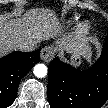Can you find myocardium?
Wrapping results in <instances>:
<instances>
[{
  "mask_svg": "<svg viewBox=\"0 0 108 108\" xmlns=\"http://www.w3.org/2000/svg\"><path fill=\"white\" fill-rule=\"evenodd\" d=\"M89 29H90L89 24H83L80 28V33L86 34L88 33Z\"/></svg>",
  "mask_w": 108,
  "mask_h": 108,
  "instance_id": "myocardium-1",
  "label": "myocardium"
}]
</instances>
